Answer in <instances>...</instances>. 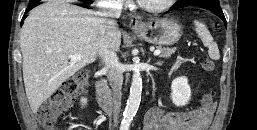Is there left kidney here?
I'll use <instances>...</instances> for the list:
<instances>
[{"mask_svg":"<svg viewBox=\"0 0 257 130\" xmlns=\"http://www.w3.org/2000/svg\"><path fill=\"white\" fill-rule=\"evenodd\" d=\"M191 98V88L185 76L175 78L171 84V100L175 106H185Z\"/></svg>","mask_w":257,"mask_h":130,"instance_id":"obj_1","label":"left kidney"}]
</instances>
